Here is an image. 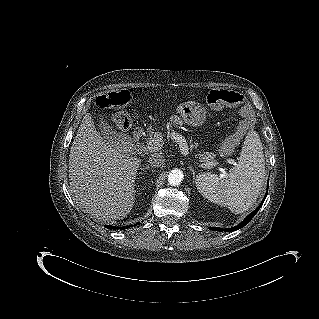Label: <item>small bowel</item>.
I'll use <instances>...</instances> for the list:
<instances>
[{
  "label": "small bowel",
  "mask_w": 319,
  "mask_h": 319,
  "mask_svg": "<svg viewBox=\"0 0 319 319\" xmlns=\"http://www.w3.org/2000/svg\"><path fill=\"white\" fill-rule=\"evenodd\" d=\"M172 122L174 123V124H176V125H178V124H180V119L177 117V116H174L173 118H172Z\"/></svg>",
  "instance_id": "1"
}]
</instances>
